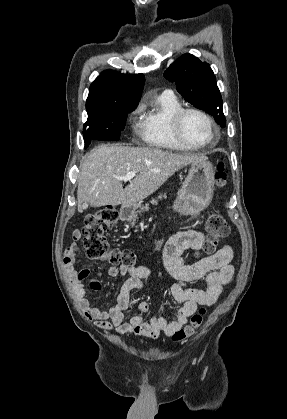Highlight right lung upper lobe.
I'll return each mask as SVG.
<instances>
[{
  "label": "right lung upper lobe",
  "mask_w": 287,
  "mask_h": 419,
  "mask_svg": "<svg viewBox=\"0 0 287 419\" xmlns=\"http://www.w3.org/2000/svg\"><path fill=\"white\" fill-rule=\"evenodd\" d=\"M144 82L142 74L126 75L104 71L90 86L86 100L87 113L124 105H137Z\"/></svg>",
  "instance_id": "1"
}]
</instances>
